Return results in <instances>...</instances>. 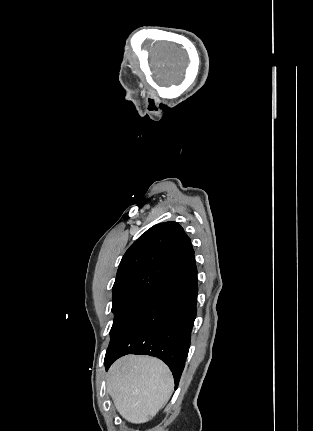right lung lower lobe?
I'll use <instances>...</instances> for the list:
<instances>
[{"label":"right lung lower lobe","instance_id":"right-lung-lower-lobe-1","mask_svg":"<svg viewBox=\"0 0 313 431\" xmlns=\"http://www.w3.org/2000/svg\"><path fill=\"white\" fill-rule=\"evenodd\" d=\"M198 294L194 254L154 289L110 341L105 366L126 354L164 361L177 388L188 355Z\"/></svg>","mask_w":313,"mask_h":431}]
</instances>
